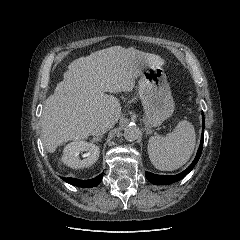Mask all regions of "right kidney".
Here are the masks:
<instances>
[{
  "instance_id": "right-kidney-1",
  "label": "right kidney",
  "mask_w": 240,
  "mask_h": 240,
  "mask_svg": "<svg viewBox=\"0 0 240 240\" xmlns=\"http://www.w3.org/2000/svg\"><path fill=\"white\" fill-rule=\"evenodd\" d=\"M62 162L71 168H84L94 164L100 154V149L93 143L77 140L67 144L63 150ZM84 154V158L80 159L79 154Z\"/></svg>"
}]
</instances>
